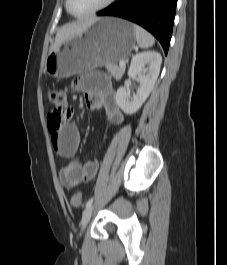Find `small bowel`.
<instances>
[{"label":"small bowel","mask_w":227,"mask_h":265,"mask_svg":"<svg viewBox=\"0 0 227 265\" xmlns=\"http://www.w3.org/2000/svg\"><path fill=\"white\" fill-rule=\"evenodd\" d=\"M73 87L82 92L86 107L90 111H102L112 125H121L125 117L115 100L114 90L106 77V72H88L74 82ZM51 143L55 153L63 159L72 158L80 144V134L76 125L68 124L53 133ZM99 168L97 160L84 163L70 161L60 173L62 184L74 188L95 177Z\"/></svg>","instance_id":"obj_1"}]
</instances>
